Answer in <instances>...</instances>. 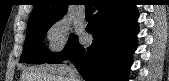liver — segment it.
I'll list each match as a JSON object with an SVG mask.
<instances>
[{"label": "liver", "mask_w": 169, "mask_h": 81, "mask_svg": "<svg viewBox=\"0 0 169 81\" xmlns=\"http://www.w3.org/2000/svg\"><path fill=\"white\" fill-rule=\"evenodd\" d=\"M21 81H70L68 66L66 64L33 66L22 73Z\"/></svg>", "instance_id": "liver-1"}]
</instances>
